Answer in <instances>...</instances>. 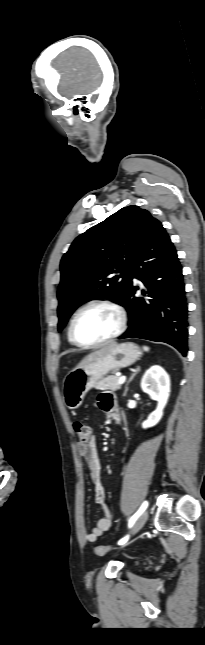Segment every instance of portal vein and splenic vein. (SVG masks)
Instances as JSON below:
<instances>
[{
	"label": "portal vein and splenic vein",
	"mask_w": 205,
	"mask_h": 645,
	"mask_svg": "<svg viewBox=\"0 0 205 645\" xmlns=\"http://www.w3.org/2000/svg\"><path fill=\"white\" fill-rule=\"evenodd\" d=\"M126 381V376H121L119 378V384H123Z\"/></svg>",
	"instance_id": "portal-vein-and-splenic-vein-1"
}]
</instances>
